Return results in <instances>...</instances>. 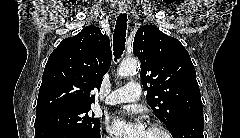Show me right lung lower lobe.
Wrapping results in <instances>:
<instances>
[{"label":"right lung lower lobe","instance_id":"right-lung-lower-lobe-1","mask_svg":"<svg viewBox=\"0 0 240 138\" xmlns=\"http://www.w3.org/2000/svg\"><path fill=\"white\" fill-rule=\"evenodd\" d=\"M83 136L77 132L61 126H52L47 128L35 129V138H100Z\"/></svg>","mask_w":240,"mask_h":138}]
</instances>
